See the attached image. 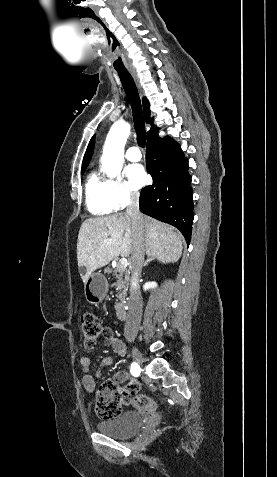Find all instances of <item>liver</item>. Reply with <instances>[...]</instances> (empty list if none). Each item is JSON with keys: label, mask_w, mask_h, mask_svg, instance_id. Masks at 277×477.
I'll return each mask as SVG.
<instances>
[{"label": "liver", "mask_w": 277, "mask_h": 477, "mask_svg": "<svg viewBox=\"0 0 277 477\" xmlns=\"http://www.w3.org/2000/svg\"><path fill=\"white\" fill-rule=\"evenodd\" d=\"M144 244L148 257L162 263L177 262L182 254L180 233L151 217L142 216ZM133 253V228L131 218L125 213L106 217L89 218L80 227L77 241L79 267H85L81 278L85 283L97 269L109 264L114 258Z\"/></svg>", "instance_id": "obj_1"}]
</instances>
